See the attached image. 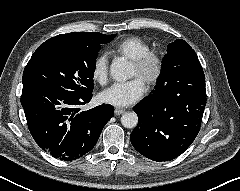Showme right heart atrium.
I'll return each mask as SVG.
<instances>
[{"label": "right heart atrium", "mask_w": 240, "mask_h": 191, "mask_svg": "<svg viewBox=\"0 0 240 191\" xmlns=\"http://www.w3.org/2000/svg\"><path fill=\"white\" fill-rule=\"evenodd\" d=\"M108 57L106 54L98 55L93 63V78L101 84L106 83L108 79Z\"/></svg>", "instance_id": "obj_1"}]
</instances>
